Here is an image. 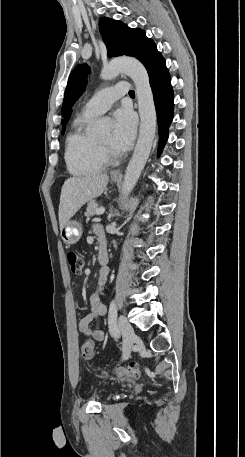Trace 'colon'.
Returning <instances> with one entry per match:
<instances>
[{"mask_svg": "<svg viewBox=\"0 0 245 457\" xmlns=\"http://www.w3.org/2000/svg\"><path fill=\"white\" fill-rule=\"evenodd\" d=\"M66 256L71 272L80 275L84 265L82 257L76 251H68ZM93 352V341L85 340L80 344V354L84 359H91ZM140 373V367L136 362H131L126 366H118L115 369V375L118 377H138Z\"/></svg>", "mask_w": 245, "mask_h": 457, "instance_id": "5ec220e1", "label": "colon"}]
</instances>
